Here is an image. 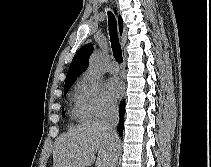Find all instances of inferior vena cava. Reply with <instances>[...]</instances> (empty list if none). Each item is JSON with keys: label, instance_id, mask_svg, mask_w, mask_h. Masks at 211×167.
Returning a JSON list of instances; mask_svg holds the SVG:
<instances>
[{"label": "inferior vena cava", "instance_id": "602c4592", "mask_svg": "<svg viewBox=\"0 0 211 167\" xmlns=\"http://www.w3.org/2000/svg\"><path fill=\"white\" fill-rule=\"evenodd\" d=\"M119 122L118 107L115 104H108L106 108L105 118L102 121L105 129L110 133L113 140L118 141L116 126Z\"/></svg>", "mask_w": 211, "mask_h": 167}]
</instances>
